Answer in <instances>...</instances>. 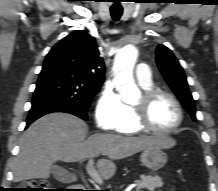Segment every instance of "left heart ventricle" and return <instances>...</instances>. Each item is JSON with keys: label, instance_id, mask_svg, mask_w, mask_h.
Listing matches in <instances>:
<instances>
[{"label": "left heart ventricle", "instance_id": "b2bd125f", "mask_svg": "<svg viewBox=\"0 0 218 191\" xmlns=\"http://www.w3.org/2000/svg\"><path fill=\"white\" fill-rule=\"evenodd\" d=\"M142 97L136 102L139 104ZM149 116L156 128L167 129L174 126L178 121V112L175 105L166 97H158L152 103Z\"/></svg>", "mask_w": 218, "mask_h": 191}]
</instances>
